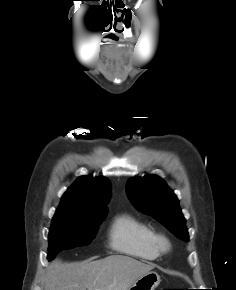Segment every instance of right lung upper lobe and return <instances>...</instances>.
Returning a JSON list of instances; mask_svg holds the SVG:
<instances>
[{
  "mask_svg": "<svg viewBox=\"0 0 236 290\" xmlns=\"http://www.w3.org/2000/svg\"><path fill=\"white\" fill-rule=\"evenodd\" d=\"M111 195V183L105 177L78 178L65 192L55 216L81 218L106 214Z\"/></svg>",
  "mask_w": 236,
  "mask_h": 290,
  "instance_id": "right-lung-upper-lobe-1",
  "label": "right lung upper lobe"
}]
</instances>
